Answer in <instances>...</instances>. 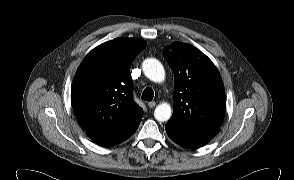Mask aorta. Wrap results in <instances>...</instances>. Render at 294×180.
<instances>
[{"mask_svg": "<svg viewBox=\"0 0 294 180\" xmlns=\"http://www.w3.org/2000/svg\"><path fill=\"white\" fill-rule=\"evenodd\" d=\"M143 73L147 78L154 82H163L165 78L164 67L160 61L155 58L145 59L142 64ZM172 115L171 106L168 103L159 104L154 110V117L159 122H165Z\"/></svg>", "mask_w": 294, "mask_h": 180, "instance_id": "aorta-1", "label": "aorta"}]
</instances>
